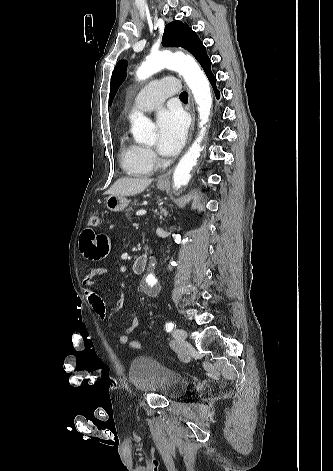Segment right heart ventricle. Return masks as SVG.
<instances>
[{
	"label": "right heart ventricle",
	"mask_w": 333,
	"mask_h": 471,
	"mask_svg": "<svg viewBox=\"0 0 333 471\" xmlns=\"http://www.w3.org/2000/svg\"><path fill=\"white\" fill-rule=\"evenodd\" d=\"M120 162L123 170L132 176H146L153 171V164L146 155V148L123 133L119 141Z\"/></svg>",
	"instance_id": "1"
}]
</instances>
